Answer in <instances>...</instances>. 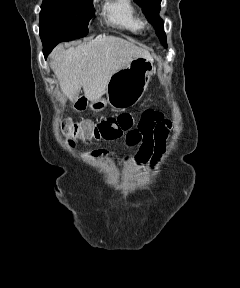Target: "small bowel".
Wrapping results in <instances>:
<instances>
[{
	"label": "small bowel",
	"instance_id": "1",
	"mask_svg": "<svg viewBox=\"0 0 240 288\" xmlns=\"http://www.w3.org/2000/svg\"><path fill=\"white\" fill-rule=\"evenodd\" d=\"M173 124L161 112L155 110L144 111L139 119L138 126L130 132L126 139L129 145H139L138 158L153 161L165 151L166 139ZM108 151L93 152V156H107Z\"/></svg>",
	"mask_w": 240,
	"mask_h": 288
}]
</instances>
